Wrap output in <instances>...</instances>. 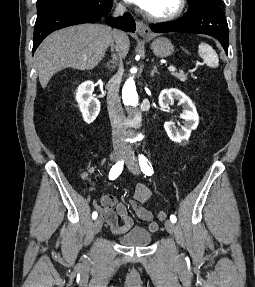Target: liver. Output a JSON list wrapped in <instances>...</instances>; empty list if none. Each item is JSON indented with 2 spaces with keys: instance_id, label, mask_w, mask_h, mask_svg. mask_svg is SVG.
Here are the masks:
<instances>
[{
  "instance_id": "obj_1",
  "label": "liver",
  "mask_w": 255,
  "mask_h": 287,
  "mask_svg": "<svg viewBox=\"0 0 255 287\" xmlns=\"http://www.w3.org/2000/svg\"><path fill=\"white\" fill-rule=\"evenodd\" d=\"M111 38V28L102 24L71 26L48 36L35 54L42 88L64 68L93 70L104 58ZM115 42L120 58H126L130 48L127 34L116 36Z\"/></svg>"
}]
</instances>
